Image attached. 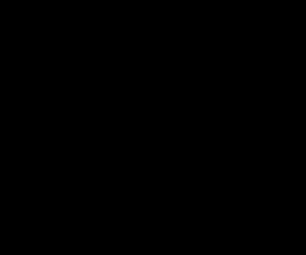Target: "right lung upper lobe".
Masks as SVG:
<instances>
[{
	"mask_svg": "<svg viewBox=\"0 0 306 255\" xmlns=\"http://www.w3.org/2000/svg\"><path fill=\"white\" fill-rule=\"evenodd\" d=\"M121 76H95L74 86L56 123V153L68 187L97 198L117 174L109 157Z\"/></svg>",
	"mask_w": 306,
	"mask_h": 255,
	"instance_id": "right-lung-upper-lobe-1",
	"label": "right lung upper lobe"
}]
</instances>
